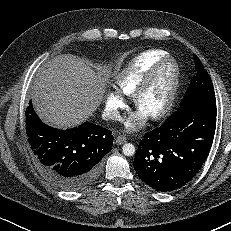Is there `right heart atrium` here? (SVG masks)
Returning a JSON list of instances; mask_svg holds the SVG:
<instances>
[{
    "instance_id": "1",
    "label": "right heart atrium",
    "mask_w": 231,
    "mask_h": 231,
    "mask_svg": "<svg viewBox=\"0 0 231 231\" xmlns=\"http://www.w3.org/2000/svg\"><path fill=\"white\" fill-rule=\"evenodd\" d=\"M105 112L107 117L113 120L120 119V110L125 107L126 101L121 91L117 89H111L105 96Z\"/></svg>"
}]
</instances>
